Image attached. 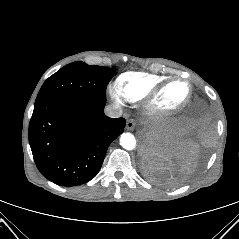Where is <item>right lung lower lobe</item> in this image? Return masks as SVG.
<instances>
[{
  "instance_id": "98d812e1",
  "label": "right lung lower lobe",
  "mask_w": 239,
  "mask_h": 239,
  "mask_svg": "<svg viewBox=\"0 0 239 239\" xmlns=\"http://www.w3.org/2000/svg\"><path fill=\"white\" fill-rule=\"evenodd\" d=\"M106 101L56 97L35 102L29 143L37 168L48 180L75 186L99 172L110 143L123 131L124 118H109Z\"/></svg>"
}]
</instances>
